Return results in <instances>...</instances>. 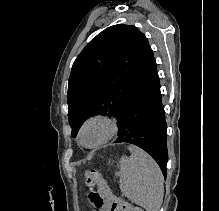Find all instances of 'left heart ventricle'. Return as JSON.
<instances>
[{
	"label": "left heart ventricle",
	"mask_w": 219,
	"mask_h": 211,
	"mask_svg": "<svg viewBox=\"0 0 219 211\" xmlns=\"http://www.w3.org/2000/svg\"><path fill=\"white\" fill-rule=\"evenodd\" d=\"M105 128L101 123L95 122L89 124L83 131L82 141L86 145H93L100 141Z\"/></svg>",
	"instance_id": "1"
}]
</instances>
